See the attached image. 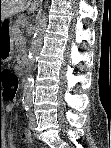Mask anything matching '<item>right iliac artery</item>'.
<instances>
[{
  "label": "right iliac artery",
  "mask_w": 111,
  "mask_h": 148,
  "mask_svg": "<svg viewBox=\"0 0 111 148\" xmlns=\"http://www.w3.org/2000/svg\"><path fill=\"white\" fill-rule=\"evenodd\" d=\"M27 107H28V105L24 103V108H27Z\"/></svg>",
  "instance_id": "1"
}]
</instances>
